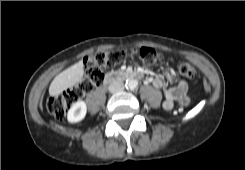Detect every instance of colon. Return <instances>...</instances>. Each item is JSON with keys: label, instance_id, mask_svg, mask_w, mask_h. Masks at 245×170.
<instances>
[{"label": "colon", "instance_id": "1", "mask_svg": "<svg viewBox=\"0 0 245 170\" xmlns=\"http://www.w3.org/2000/svg\"><path fill=\"white\" fill-rule=\"evenodd\" d=\"M126 56L139 60L144 66L153 65L163 59L160 54L150 48L132 50L128 53L124 50L98 52L88 60L85 75L76 86L46 98L45 105L48 112L57 118H63L69 106L102 83V71L118 66ZM178 68L179 72L188 78L194 77L196 73L194 66L188 61H181ZM188 104V98L180 101L182 106Z\"/></svg>", "mask_w": 245, "mask_h": 170}]
</instances>
